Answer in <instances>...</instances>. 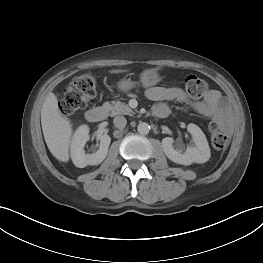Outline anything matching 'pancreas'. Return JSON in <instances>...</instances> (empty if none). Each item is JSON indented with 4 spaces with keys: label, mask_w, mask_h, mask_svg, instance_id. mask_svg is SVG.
Masks as SVG:
<instances>
[{
    "label": "pancreas",
    "mask_w": 263,
    "mask_h": 263,
    "mask_svg": "<svg viewBox=\"0 0 263 263\" xmlns=\"http://www.w3.org/2000/svg\"><path fill=\"white\" fill-rule=\"evenodd\" d=\"M103 107L107 109L110 113V116H115V115H132L134 112L132 109L125 103L120 102V101H113L111 104L109 102H105L103 104Z\"/></svg>",
    "instance_id": "pancreas-1"
}]
</instances>
